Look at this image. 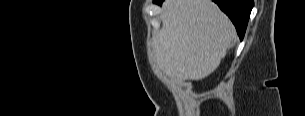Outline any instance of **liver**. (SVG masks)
Returning a JSON list of instances; mask_svg holds the SVG:
<instances>
[{
    "mask_svg": "<svg viewBox=\"0 0 305 116\" xmlns=\"http://www.w3.org/2000/svg\"><path fill=\"white\" fill-rule=\"evenodd\" d=\"M153 37L156 65L177 81L200 80L217 69L236 31L211 0H166Z\"/></svg>",
    "mask_w": 305,
    "mask_h": 116,
    "instance_id": "obj_1",
    "label": "liver"
}]
</instances>
